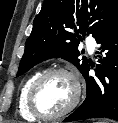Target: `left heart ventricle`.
I'll return each mask as SVG.
<instances>
[{"mask_svg":"<svg viewBox=\"0 0 118 123\" xmlns=\"http://www.w3.org/2000/svg\"><path fill=\"white\" fill-rule=\"evenodd\" d=\"M74 85L64 74H55L47 78L37 91L36 105L46 114H56L64 110L72 101Z\"/></svg>","mask_w":118,"mask_h":123,"instance_id":"left-heart-ventricle-1","label":"left heart ventricle"}]
</instances>
